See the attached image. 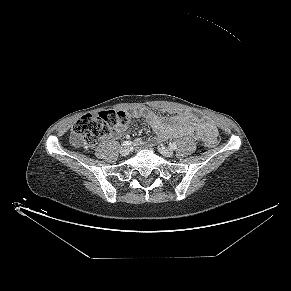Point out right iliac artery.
I'll use <instances>...</instances> for the list:
<instances>
[{
  "mask_svg": "<svg viewBox=\"0 0 291 291\" xmlns=\"http://www.w3.org/2000/svg\"><path fill=\"white\" fill-rule=\"evenodd\" d=\"M122 145H123V146H129V145H131V141H124V142L122 143Z\"/></svg>",
  "mask_w": 291,
  "mask_h": 291,
  "instance_id": "obj_1",
  "label": "right iliac artery"
}]
</instances>
